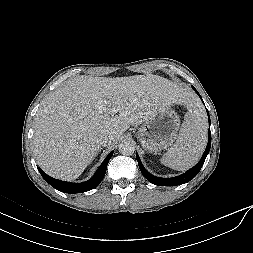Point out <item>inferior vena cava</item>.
Masks as SVG:
<instances>
[{
	"instance_id": "obj_1",
	"label": "inferior vena cava",
	"mask_w": 253,
	"mask_h": 253,
	"mask_svg": "<svg viewBox=\"0 0 253 253\" xmlns=\"http://www.w3.org/2000/svg\"><path fill=\"white\" fill-rule=\"evenodd\" d=\"M113 140L114 137L109 132H103L99 137V141L102 146L110 145L113 142Z\"/></svg>"
}]
</instances>
